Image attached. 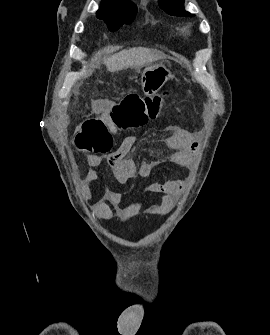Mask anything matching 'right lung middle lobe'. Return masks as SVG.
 <instances>
[{"instance_id": "1", "label": "right lung middle lobe", "mask_w": 270, "mask_h": 335, "mask_svg": "<svg viewBox=\"0 0 270 335\" xmlns=\"http://www.w3.org/2000/svg\"><path fill=\"white\" fill-rule=\"evenodd\" d=\"M137 13L134 5L117 6V7H101L97 12V17L103 19L110 31H115L123 24H130Z\"/></svg>"}]
</instances>
